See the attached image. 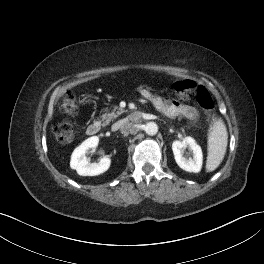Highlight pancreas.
<instances>
[{
	"instance_id": "1",
	"label": "pancreas",
	"mask_w": 264,
	"mask_h": 264,
	"mask_svg": "<svg viewBox=\"0 0 264 264\" xmlns=\"http://www.w3.org/2000/svg\"><path fill=\"white\" fill-rule=\"evenodd\" d=\"M107 111V109H106ZM125 112L124 109L115 106L112 110V112H106L101 116L102 118V125L107 126L113 119H116L119 115L123 114Z\"/></svg>"
}]
</instances>
